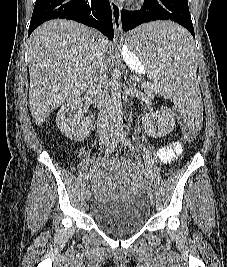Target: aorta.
I'll list each match as a JSON object with an SVG mask.
<instances>
[{
    "label": "aorta",
    "instance_id": "762f6f07",
    "mask_svg": "<svg viewBox=\"0 0 227 267\" xmlns=\"http://www.w3.org/2000/svg\"><path fill=\"white\" fill-rule=\"evenodd\" d=\"M121 73L114 69L111 80V103H112V118L115 127L122 125V101H121Z\"/></svg>",
    "mask_w": 227,
    "mask_h": 267
}]
</instances>
